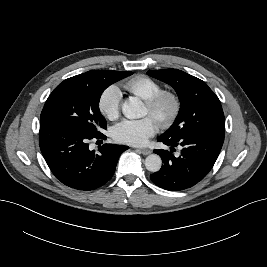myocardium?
I'll use <instances>...</instances> for the list:
<instances>
[{
  "label": "myocardium",
  "instance_id": "1",
  "mask_svg": "<svg viewBox=\"0 0 267 267\" xmlns=\"http://www.w3.org/2000/svg\"><path fill=\"white\" fill-rule=\"evenodd\" d=\"M166 103L169 104V111L161 115L157 122L162 129L171 127L177 120L181 111L180 97L175 91L162 89L145 101V106L153 115H158Z\"/></svg>",
  "mask_w": 267,
  "mask_h": 267
}]
</instances>
